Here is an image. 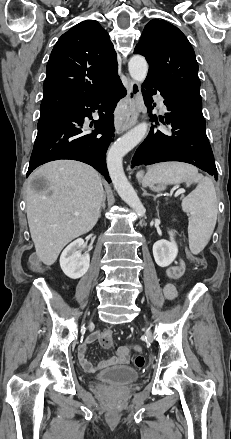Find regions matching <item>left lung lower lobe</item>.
<instances>
[{
  "instance_id": "left-lung-lower-lobe-1",
  "label": "left lung lower lobe",
  "mask_w": 231,
  "mask_h": 439,
  "mask_svg": "<svg viewBox=\"0 0 231 439\" xmlns=\"http://www.w3.org/2000/svg\"><path fill=\"white\" fill-rule=\"evenodd\" d=\"M143 85L149 87L148 92H143V96L151 118L156 123H158L157 117L151 113L153 102L151 95L160 92L164 98V104L168 110L165 114V123L169 124L170 132L164 133L151 127L149 135L136 150L131 167L180 161L195 165L217 180L218 173L206 135L203 115L195 112L167 92L155 80L147 77ZM160 121L163 122V120Z\"/></svg>"
}]
</instances>
